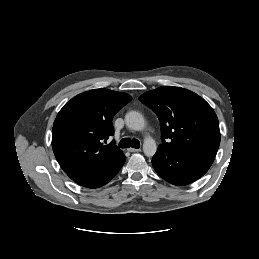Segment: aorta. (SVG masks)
<instances>
[{
	"mask_svg": "<svg viewBox=\"0 0 259 259\" xmlns=\"http://www.w3.org/2000/svg\"><path fill=\"white\" fill-rule=\"evenodd\" d=\"M125 123L126 126L135 131H142L145 129V120L137 111H130L125 115ZM157 150L156 142L155 140L148 136L144 139L143 142V151L144 154L148 157H152Z\"/></svg>",
	"mask_w": 259,
	"mask_h": 259,
	"instance_id": "762f6f07",
	"label": "aorta"
}]
</instances>
